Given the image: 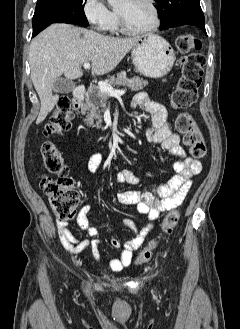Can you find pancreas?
<instances>
[{"label":"pancreas","mask_w":240,"mask_h":329,"mask_svg":"<svg viewBox=\"0 0 240 329\" xmlns=\"http://www.w3.org/2000/svg\"><path fill=\"white\" fill-rule=\"evenodd\" d=\"M111 86H127L131 89V91H139L142 90L146 85H148V81L144 80L138 76H134L133 78H127L125 72L117 73V75H113L110 79L106 80ZM107 98L104 93L100 91L98 86L90 87L86 93L85 103L82 105L81 111L82 113L87 112V116L84 119L87 125L94 126L96 128H101L102 116L100 112L103 111L106 107ZM100 108L102 109L100 111Z\"/></svg>","instance_id":"pancreas-1"}]
</instances>
